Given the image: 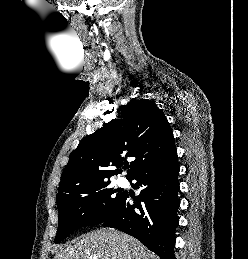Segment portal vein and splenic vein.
Here are the masks:
<instances>
[{
    "mask_svg": "<svg viewBox=\"0 0 248 259\" xmlns=\"http://www.w3.org/2000/svg\"><path fill=\"white\" fill-rule=\"evenodd\" d=\"M91 259H98V258L95 256V257H92Z\"/></svg>",
    "mask_w": 248,
    "mask_h": 259,
    "instance_id": "portal-vein-and-splenic-vein-1",
    "label": "portal vein and splenic vein"
}]
</instances>
